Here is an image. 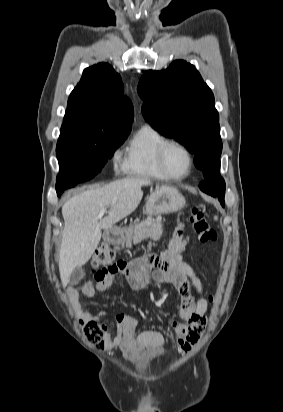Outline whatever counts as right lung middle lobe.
<instances>
[{
	"label": "right lung middle lobe",
	"instance_id": "right-lung-middle-lobe-1",
	"mask_svg": "<svg viewBox=\"0 0 283 412\" xmlns=\"http://www.w3.org/2000/svg\"><path fill=\"white\" fill-rule=\"evenodd\" d=\"M129 132L94 134L73 121L63 120L56 153L60 166L57 183L84 182L93 178Z\"/></svg>",
	"mask_w": 283,
	"mask_h": 412
}]
</instances>
